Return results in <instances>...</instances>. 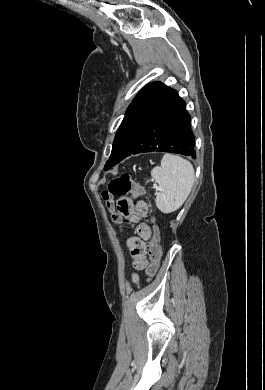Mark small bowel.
<instances>
[{
  "label": "small bowel",
  "instance_id": "c3829d8e",
  "mask_svg": "<svg viewBox=\"0 0 265 390\" xmlns=\"http://www.w3.org/2000/svg\"><path fill=\"white\" fill-rule=\"evenodd\" d=\"M116 208L121 216L125 217L131 224L136 226L137 236L127 240V246L132 256V264L135 270H142L147 267L146 241L152 236V229L142 222L147 213V205L144 202L136 204L130 198L120 197L116 202ZM132 279L138 282V275L133 274Z\"/></svg>",
  "mask_w": 265,
  "mask_h": 390
}]
</instances>
